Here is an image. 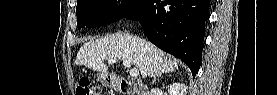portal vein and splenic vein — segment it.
Returning a JSON list of instances; mask_svg holds the SVG:
<instances>
[{"label":"portal vein and splenic vein","mask_w":277,"mask_h":95,"mask_svg":"<svg viewBox=\"0 0 277 95\" xmlns=\"http://www.w3.org/2000/svg\"><path fill=\"white\" fill-rule=\"evenodd\" d=\"M115 62H116L115 59H109V60H108V63H109V64H112V63H115ZM122 62H123V65H124L125 67H127V68L130 69L129 74H130L131 77H137V76L139 75V71H138L136 68H131V64H130L129 61L123 60Z\"/></svg>","instance_id":"18ae733b"}]
</instances>
